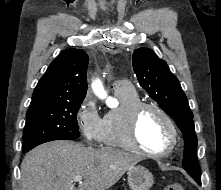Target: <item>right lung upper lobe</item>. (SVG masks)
<instances>
[{"label":"right lung upper lobe","instance_id":"obj_1","mask_svg":"<svg viewBox=\"0 0 221 190\" xmlns=\"http://www.w3.org/2000/svg\"><path fill=\"white\" fill-rule=\"evenodd\" d=\"M89 57L82 49H66L39 80L30 106L44 103L83 102L87 91Z\"/></svg>","mask_w":221,"mask_h":190}]
</instances>
